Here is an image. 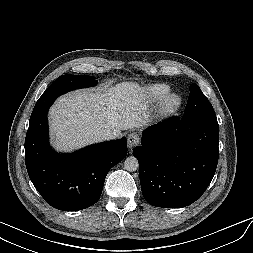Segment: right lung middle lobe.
<instances>
[{
  "label": "right lung middle lobe",
  "instance_id": "obj_1",
  "mask_svg": "<svg viewBox=\"0 0 253 253\" xmlns=\"http://www.w3.org/2000/svg\"><path fill=\"white\" fill-rule=\"evenodd\" d=\"M97 84V80H95L92 76L87 75H62L57 78L41 95L38 99L30 119L36 117L38 114L42 113L52 105L54 100L68 91L90 87Z\"/></svg>",
  "mask_w": 253,
  "mask_h": 253
}]
</instances>
